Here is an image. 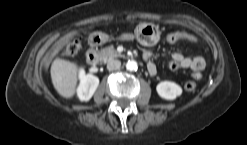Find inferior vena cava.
I'll return each mask as SVG.
<instances>
[{
	"instance_id": "602c4592",
	"label": "inferior vena cava",
	"mask_w": 247,
	"mask_h": 145,
	"mask_svg": "<svg viewBox=\"0 0 247 145\" xmlns=\"http://www.w3.org/2000/svg\"><path fill=\"white\" fill-rule=\"evenodd\" d=\"M120 66H121V62L119 60H116V59H110L107 62V69L109 71L117 70L120 68Z\"/></svg>"
}]
</instances>
